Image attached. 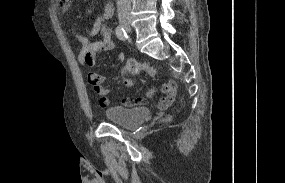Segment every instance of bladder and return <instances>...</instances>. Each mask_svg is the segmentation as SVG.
<instances>
[{
    "instance_id": "obj_1",
    "label": "bladder",
    "mask_w": 285,
    "mask_h": 183,
    "mask_svg": "<svg viewBox=\"0 0 285 183\" xmlns=\"http://www.w3.org/2000/svg\"><path fill=\"white\" fill-rule=\"evenodd\" d=\"M104 115L112 123L131 127L145 121L149 115V110L146 107L114 105L107 108Z\"/></svg>"
}]
</instances>
